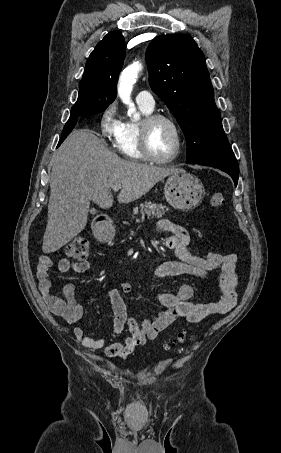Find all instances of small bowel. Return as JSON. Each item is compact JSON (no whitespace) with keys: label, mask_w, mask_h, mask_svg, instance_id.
<instances>
[{"label":"small bowel","mask_w":281,"mask_h":453,"mask_svg":"<svg viewBox=\"0 0 281 453\" xmlns=\"http://www.w3.org/2000/svg\"><path fill=\"white\" fill-rule=\"evenodd\" d=\"M158 232L173 234L166 240V244L174 250L176 259L162 262L156 269V276L162 277H195L203 281L211 279V272L220 268L221 299L218 302L201 303L191 300L193 288L181 286L175 295L162 294L160 300L165 310L159 314L145 318L140 323L128 318L122 294L132 291L131 284L121 282L118 287L108 290L107 295L111 303L113 320L112 329L115 333L122 332L126 327L129 335L125 341L107 344L108 337H92L76 327L74 334L86 349L105 348L110 358H123L141 346L147 339L156 338L172 322L185 318L190 323H200L211 314L223 315L231 312L237 302L238 277L236 265L237 256L232 253L220 254L208 252L193 254L189 248L191 236L186 228L169 220H161L157 225ZM53 261L48 255H41L38 261L37 278L40 291L53 315L63 319L68 325H76L82 318L84 308L76 298V284H63V297L60 299L52 294L49 271ZM75 272H92L93 266L88 262L72 263L69 259H60L57 263V273L64 274L68 270Z\"/></svg>","instance_id":"obj_1"}]
</instances>
